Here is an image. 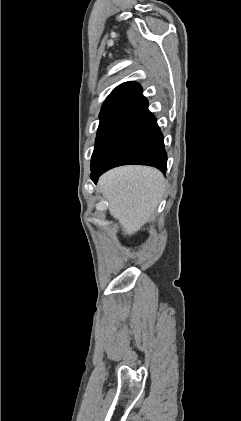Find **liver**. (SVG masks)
I'll return each instance as SVG.
<instances>
[{
	"label": "liver",
	"instance_id": "1",
	"mask_svg": "<svg viewBox=\"0 0 241 421\" xmlns=\"http://www.w3.org/2000/svg\"><path fill=\"white\" fill-rule=\"evenodd\" d=\"M98 188L124 234L132 235L153 215L165 194L166 182L155 168L122 166L103 174Z\"/></svg>",
	"mask_w": 241,
	"mask_h": 421
}]
</instances>
